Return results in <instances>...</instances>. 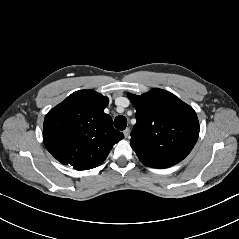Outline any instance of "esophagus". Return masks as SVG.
<instances>
[{
	"mask_svg": "<svg viewBox=\"0 0 239 239\" xmlns=\"http://www.w3.org/2000/svg\"><path fill=\"white\" fill-rule=\"evenodd\" d=\"M123 134H124V137H125V138H128V137H129V134H130V129H129V128H126V129L123 131Z\"/></svg>",
	"mask_w": 239,
	"mask_h": 239,
	"instance_id": "34e87169",
	"label": "esophagus"
}]
</instances>
